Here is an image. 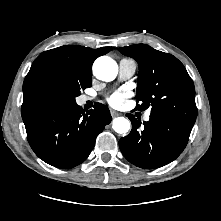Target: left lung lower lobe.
<instances>
[{
    "mask_svg": "<svg viewBox=\"0 0 221 221\" xmlns=\"http://www.w3.org/2000/svg\"><path fill=\"white\" fill-rule=\"evenodd\" d=\"M132 123L130 134L119 141V147L125 158L132 164L144 168H159L175 160L186 147L192 123L166 115H150L144 122L127 114Z\"/></svg>",
    "mask_w": 221,
    "mask_h": 221,
    "instance_id": "obj_1",
    "label": "left lung lower lobe"
}]
</instances>
